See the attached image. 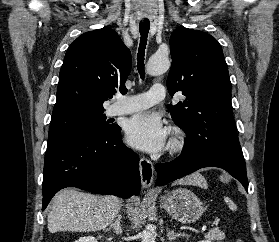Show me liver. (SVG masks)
<instances>
[{
    "label": "liver",
    "mask_w": 279,
    "mask_h": 242,
    "mask_svg": "<svg viewBox=\"0 0 279 242\" xmlns=\"http://www.w3.org/2000/svg\"><path fill=\"white\" fill-rule=\"evenodd\" d=\"M184 185H198L207 188L200 174H193L178 181ZM122 207L118 197L98 196L64 189L52 199L51 210L47 217L50 233L58 231H97L111 224Z\"/></svg>",
    "instance_id": "1"
}]
</instances>
